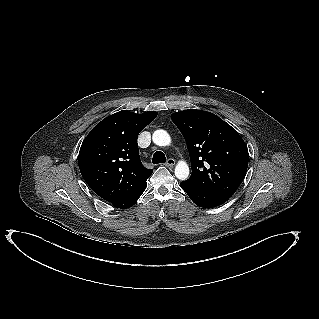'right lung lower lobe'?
<instances>
[{"label": "right lung lower lobe", "mask_w": 319, "mask_h": 319, "mask_svg": "<svg viewBox=\"0 0 319 319\" xmlns=\"http://www.w3.org/2000/svg\"><path fill=\"white\" fill-rule=\"evenodd\" d=\"M145 189H146V185L141 187L140 189H138L132 195L119 201L114 206L119 208V209H126V208L133 206L136 203V201L138 200V198L141 196V194L144 192Z\"/></svg>", "instance_id": "1"}]
</instances>
